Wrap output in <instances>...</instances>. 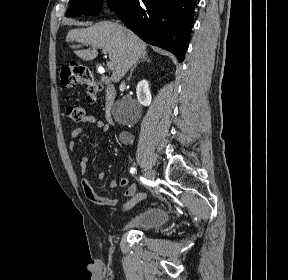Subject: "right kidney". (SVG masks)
<instances>
[{
  "mask_svg": "<svg viewBox=\"0 0 288 280\" xmlns=\"http://www.w3.org/2000/svg\"><path fill=\"white\" fill-rule=\"evenodd\" d=\"M136 94L138 102L143 106H149L151 104V93L149 89L148 81L142 80L138 83L136 87Z\"/></svg>",
  "mask_w": 288,
  "mask_h": 280,
  "instance_id": "right-kidney-1",
  "label": "right kidney"
}]
</instances>
